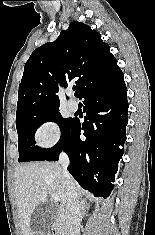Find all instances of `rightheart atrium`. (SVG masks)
<instances>
[{"label":"right heart atrium","mask_w":155,"mask_h":235,"mask_svg":"<svg viewBox=\"0 0 155 235\" xmlns=\"http://www.w3.org/2000/svg\"><path fill=\"white\" fill-rule=\"evenodd\" d=\"M60 129L56 122L47 120L42 122L35 131V140L38 145L49 148L60 139Z\"/></svg>","instance_id":"right-heart-atrium-1"}]
</instances>
